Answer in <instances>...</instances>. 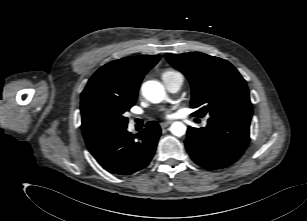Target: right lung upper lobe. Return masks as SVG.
I'll use <instances>...</instances> for the list:
<instances>
[{"label":"right lung upper lobe","mask_w":307,"mask_h":221,"mask_svg":"<svg viewBox=\"0 0 307 221\" xmlns=\"http://www.w3.org/2000/svg\"><path fill=\"white\" fill-rule=\"evenodd\" d=\"M161 55L127 57L102 66L88 81L81 96V110L84 99L92 92L101 91L126 98H136L144 75L160 60ZM84 135V134H83ZM88 148L92 142L84 135Z\"/></svg>","instance_id":"right-lung-upper-lobe-1"}]
</instances>
